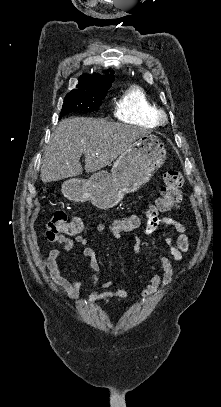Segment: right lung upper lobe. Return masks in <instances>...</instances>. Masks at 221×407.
I'll return each instance as SVG.
<instances>
[{"label": "right lung upper lobe", "mask_w": 221, "mask_h": 407, "mask_svg": "<svg viewBox=\"0 0 221 407\" xmlns=\"http://www.w3.org/2000/svg\"><path fill=\"white\" fill-rule=\"evenodd\" d=\"M114 80L113 71L110 75H98L93 73L92 75L84 74L79 78V84L77 89L72 91H97L110 88L111 83Z\"/></svg>", "instance_id": "obj_1"}]
</instances>
